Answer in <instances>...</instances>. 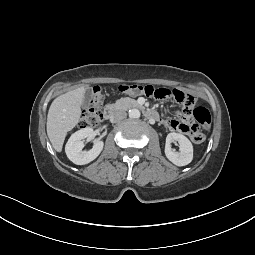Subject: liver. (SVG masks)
I'll return each mask as SVG.
<instances>
[{
	"mask_svg": "<svg viewBox=\"0 0 255 255\" xmlns=\"http://www.w3.org/2000/svg\"><path fill=\"white\" fill-rule=\"evenodd\" d=\"M85 87L71 90L57 97L51 104L47 116V135L57 152L62 151L67 132L79 122Z\"/></svg>",
	"mask_w": 255,
	"mask_h": 255,
	"instance_id": "obj_1",
	"label": "liver"
}]
</instances>
